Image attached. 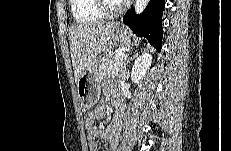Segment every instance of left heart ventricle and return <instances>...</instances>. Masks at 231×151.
<instances>
[{
    "label": "left heart ventricle",
    "instance_id": "obj_1",
    "mask_svg": "<svg viewBox=\"0 0 231 151\" xmlns=\"http://www.w3.org/2000/svg\"><path fill=\"white\" fill-rule=\"evenodd\" d=\"M109 5H110V8L111 9H115L118 7L119 3L116 1V0H109L108 1Z\"/></svg>",
    "mask_w": 231,
    "mask_h": 151
}]
</instances>
